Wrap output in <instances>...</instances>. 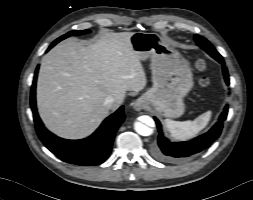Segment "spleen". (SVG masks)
Instances as JSON below:
<instances>
[{
	"label": "spleen",
	"mask_w": 253,
	"mask_h": 200,
	"mask_svg": "<svg viewBox=\"0 0 253 200\" xmlns=\"http://www.w3.org/2000/svg\"><path fill=\"white\" fill-rule=\"evenodd\" d=\"M212 116L211 111H207L193 121H173L165 120V126L174 140L182 141L195 137L208 124Z\"/></svg>",
	"instance_id": "spleen-1"
}]
</instances>
